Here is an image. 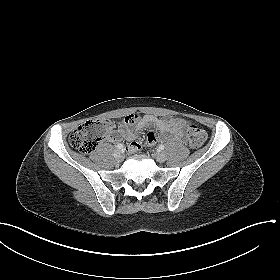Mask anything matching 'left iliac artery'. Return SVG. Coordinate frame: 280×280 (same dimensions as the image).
<instances>
[{
	"label": "left iliac artery",
	"mask_w": 280,
	"mask_h": 280,
	"mask_svg": "<svg viewBox=\"0 0 280 280\" xmlns=\"http://www.w3.org/2000/svg\"><path fill=\"white\" fill-rule=\"evenodd\" d=\"M165 146L164 145H159V150H164Z\"/></svg>",
	"instance_id": "obj_1"
}]
</instances>
